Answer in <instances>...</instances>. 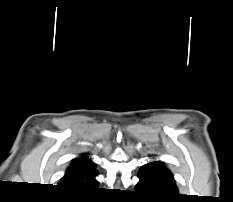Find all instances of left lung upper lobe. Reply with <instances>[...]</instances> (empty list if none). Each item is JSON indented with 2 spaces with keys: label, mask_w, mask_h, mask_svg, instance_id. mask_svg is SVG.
I'll return each mask as SVG.
<instances>
[{
  "label": "left lung upper lobe",
  "mask_w": 233,
  "mask_h": 202,
  "mask_svg": "<svg viewBox=\"0 0 233 202\" xmlns=\"http://www.w3.org/2000/svg\"><path fill=\"white\" fill-rule=\"evenodd\" d=\"M144 168L150 169L152 172L156 174L167 176L173 182H175L172 173L170 172V170L167 169V167L164 165L163 162H160V161L150 162L144 165L141 169H144Z\"/></svg>",
  "instance_id": "5c2ea615"
}]
</instances>
